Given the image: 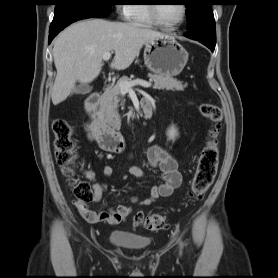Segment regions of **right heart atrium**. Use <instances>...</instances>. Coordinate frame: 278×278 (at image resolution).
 <instances>
[{"mask_svg":"<svg viewBox=\"0 0 278 278\" xmlns=\"http://www.w3.org/2000/svg\"><path fill=\"white\" fill-rule=\"evenodd\" d=\"M116 11L120 18L127 20L130 16V5L121 4L116 6Z\"/></svg>","mask_w":278,"mask_h":278,"instance_id":"obj_1","label":"right heart atrium"}]
</instances>
